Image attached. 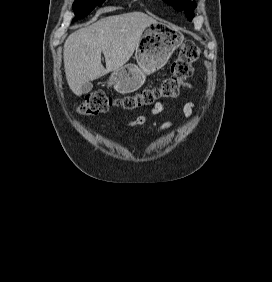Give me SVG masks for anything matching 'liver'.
<instances>
[{
    "instance_id": "6515ba94",
    "label": "liver",
    "mask_w": 272,
    "mask_h": 282,
    "mask_svg": "<svg viewBox=\"0 0 272 282\" xmlns=\"http://www.w3.org/2000/svg\"><path fill=\"white\" fill-rule=\"evenodd\" d=\"M156 21L141 12L108 16L81 28L64 43V68L69 88L82 95V86L124 66L143 31ZM104 54L106 68L101 63Z\"/></svg>"
}]
</instances>
